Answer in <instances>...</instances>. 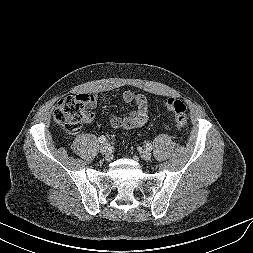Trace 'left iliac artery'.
<instances>
[{
    "label": "left iliac artery",
    "mask_w": 253,
    "mask_h": 253,
    "mask_svg": "<svg viewBox=\"0 0 253 253\" xmlns=\"http://www.w3.org/2000/svg\"><path fill=\"white\" fill-rule=\"evenodd\" d=\"M146 149L151 151L152 150V145L150 143H147L146 144Z\"/></svg>",
    "instance_id": "44dca946"
}]
</instances>
